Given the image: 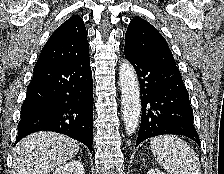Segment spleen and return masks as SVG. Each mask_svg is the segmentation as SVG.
<instances>
[{
  "label": "spleen",
  "mask_w": 224,
  "mask_h": 174,
  "mask_svg": "<svg viewBox=\"0 0 224 174\" xmlns=\"http://www.w3.org/2000/svg\"><path fill=\"white\" fill-rule=\"evenodd\" d=\"M150 146L156 161L169 174H202L197 154L178 136L154 137Z\"/></svg>",
  "instance_id": "spleen-1"
}]
</instances>
